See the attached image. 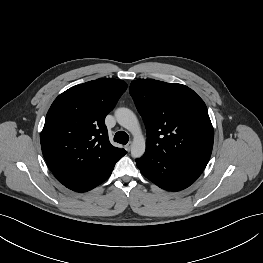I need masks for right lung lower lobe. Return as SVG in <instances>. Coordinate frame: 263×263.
I'll return each instance as SVG.
<instances>
[{"label":"right lung lower lobe","mask_w":263,"mask_h":263,"mask_svg":"<svg viewBox=\"0 0 263 263\" xmlns=\"http://www.w3.org/2000/svg\"><path fill=\"white\" fill-rule=\"evenodd\" d=\"M114 166H112L110 169L103 172L102 174L96 176L95 178H93V179H91V180H89V181H87L81 185H78L77 187L73 188L72 190L76 191V192H86V191H89V190L95 188L96 186H98L99 184H101L102 182H104L105 180H107L109 178V176L112 173Z\"/></svg>","instance_id":"obj_1"}]
</instances>
